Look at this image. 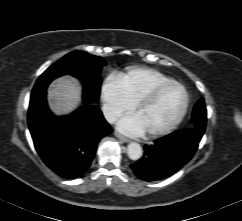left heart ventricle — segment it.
Segmentation results:
<instances>
[{"instance_id": "b2bd125f", "label": "left heart ventricle", "mask_w": 242, "mask_h": 221, "mask_svg": "<svg viewBox=\"0 0 242 221\" xmlns=\"http://www.w3.org/2000/svg\"><path fill=\"white\" fill-rule=\"evenodd\" d=\"M184 102L183 91L176 86L163 90L148 106L134 115L140 121L145 132L164 128L179 114Z\"/></svg>"}]
</instances>
